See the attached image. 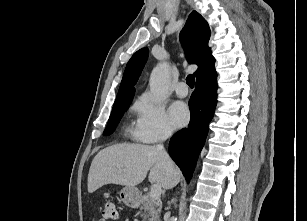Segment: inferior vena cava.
Returning a JSON list of instances; mask_svg holds the SVG:
<instances>
[{"mask_svg":"<svg viewBox=\"0 0 307 221\" xmlns=\"http://www.w3.org/2000/svg\"><path fill=\"white\" fill-rule=\"evenodd\" d=\"M171 134H172V129L170 127H165L164 130H163L162 136H161L162 141L166 140ZM157 148L163 153L167 164L171 165L172 161H171L169 155L167 154V152L165 151L163 145L158 144Z\"/></svg>","mask_w":307,"mask_h":221,"instance_id":"1","label":"inferior vena cava"}]
</instances>
